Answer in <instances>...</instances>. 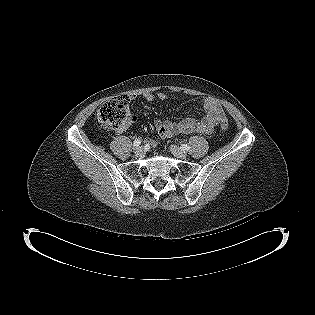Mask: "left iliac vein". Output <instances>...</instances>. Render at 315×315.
Here are the masks:
<instances>
[{
    "label": "left iliac vein",
    "instance_id": "obj_1",
    "mask_svg": "<svg viewBox=\"0 0 315 315\" xmlns=\"http://www.w3.org/2000/svg\"><path fill=\"white\" fill-rule=\"evenodd\" d=\"M170 151L176 158L184 159L186 158L187 154L185 151H183L180 147L177 145H171L170 146Z\"/></svg>",
    "mask_w": 315,
    "mask_h": 315
}]
</instances>
